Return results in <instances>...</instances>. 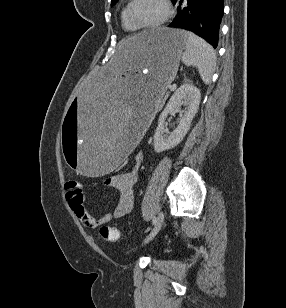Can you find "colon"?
Returning <instances> with one entry per match:
<instances>
[{
    "label": "colon",
    "mask_w": 286,
    "mask_h": 308,
    "mask_svg": "<svg viewBox=\"0 0 286 308\" xmlns=\"http://www.w3.org/2000/svg\"><path fill=\"white\" fill-rule=\"evenodd\" d=\"M80 183L76 180H70L66 183L67 190H78ZM102 238L106 241H116L119 238V231L115 227L103 226L100 229Z\"/></svg>",
    "instance_id": "obj_1"
}]
</instances>
